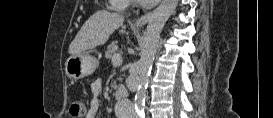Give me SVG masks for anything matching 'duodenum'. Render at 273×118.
<instances>
[{"label":"duodenum","mask_w":273,"mask_h":118,"mask_svg":"<svg viewBox=\"0 0 273 118\" xmlns=\"http://www.w3.org/2000/svg\"><path fill=\"white\" fill-rule=\"evenodd\" d=\"M115 96L121 100L128 96V89L124 85H118L115 89Z\"/></svg>","instance_id":"410a0bca"}]
</instances>
